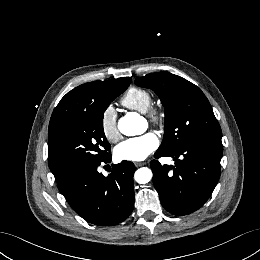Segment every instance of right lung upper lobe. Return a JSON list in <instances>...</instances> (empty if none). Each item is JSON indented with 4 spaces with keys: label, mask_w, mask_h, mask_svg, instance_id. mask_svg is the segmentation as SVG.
Here are the masks:
<instances>
[{
    "label": "right lung upper lobe",
    "mask_w": 260,
    "mask_h": 260,
    "mask_svg": "<svg viewBox=\"0 0 260 260\" xmlns=\"http://www.w3.org/2000/svg\"><path fill=\"white\" fill-rule=\"evenodd\" d=\"M131 78L124 77L107 81H94L82 84L68 92L54 109L48 131V161L56 181H60L62 175L58 168L53 143L54 133L70 122L97 93L105 90L125 89L130 85Z\"/></svg>",
    "instance_id": "cb5924a9"
}]
</instances>
